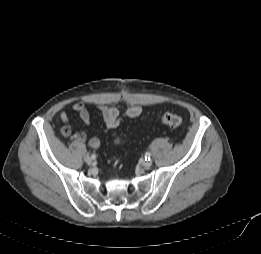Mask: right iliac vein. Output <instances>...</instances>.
<instances>
[{
    "instance_id": "63e3f726",
    "label": "right iliac vein",
    "mask_w": 261,
    "mask_h": 254,
    "mask_svg": "<svg viewBox=\"0 0 261 254\" xmlns=\"http://www.w3.org/2000/svg\"><path fill=\"white\" fill-rule=\"evenodd\" d=\"M84 161L87 163V164H91L92 163V158L89 156V155H86L85 157H84Z\"/></svg>"
}]
</instances>
